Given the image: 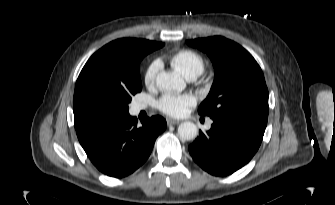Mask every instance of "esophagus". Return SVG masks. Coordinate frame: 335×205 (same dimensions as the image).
Wrapping results in <instances>:
<instances>
[{
	"label": "esophagus",
	"mask_w": 335,
	"mask_h": 205,
	"mask_svg": "<svg viewBox=\"0 0 335 205\" xmlns=\"http://www.w3.org/2000/svg\"><path fill=\"white\" fill-rule=\"evenodd\" d=\"M179 122H180L179 120H175V119H171V118L167 119V124L168 125H175V124H178Z\"/></svg>",
	"instance_id": "obj_1"
}]
</instances>
